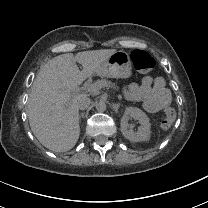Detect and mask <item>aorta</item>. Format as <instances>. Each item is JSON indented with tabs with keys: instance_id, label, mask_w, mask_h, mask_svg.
<instances>
[{
	"instance_id": "aorta-1",
	"label": "aorta",
	"mask_w": 208,
	"mask_h": 208,
	"mask_svg": "<svg viewBox=\"0 0 208 208\" xmlns=\"http://www.w3.org/2000/svg\"><path fill=\"white\" fill-rule=\"evenodd\" d=\"M105 109H106V105L102 102H99L96 105V110L99 111V112H103V111H105Z\"/></svg>"
}]
</instances>
